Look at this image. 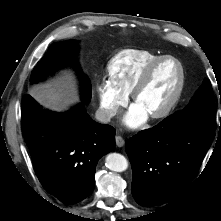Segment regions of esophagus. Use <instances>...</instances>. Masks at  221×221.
Listing matches in <instances>:
<instances>
[{
	"label": "esophagus",
	"instance_id": "34e87169",
	"mask_svg": "<svg viewBox=\"0 0 221 221\" xmlns=\"http://www.w3.org/2000/svg\"><path fill=\"white\" fill-rule=\"evenodd\" d=\"M115 141H116V145L118 147H123L124 144H125V141H124V139L121 136H116L115 137Z\"/></svg>",
	"mask_w": 221,
	"mask_h": 221
}]
</instances>
